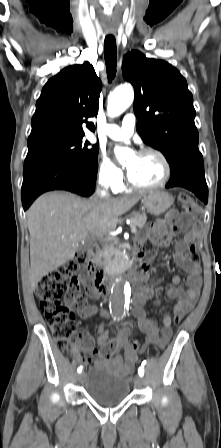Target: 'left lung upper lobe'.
Listing matches in <instances>:
<instances>
[{
  "instance_id": "obj_1",
  "label": "left lung upper lobe",
  "mask_w": 221,
  "mask_h": 448,
  "mask_svg": "<svg viewBox=\"0 0 221 448\" xmlns=\"http://www.w3.org/2000/svg\"><path fill=\"white\" fill-rule=\"evenodd\" d=\"M122 70L134 86L136 129L143 141L162 152L170 167L200 153L193 96L180 72L139 51L124 56Z\"/></svg>"
}]
</instances>
